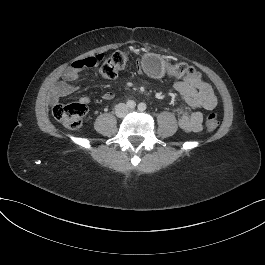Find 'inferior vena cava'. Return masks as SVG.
<instances>
[{
  "instance_id": "1",
  "label": "inferior vena cava",
  "mask_w": 265,
  "mask_h": 265,
  "mask_svg": "<svg viewBox=\"0 0 265 265\" xmlns=\"http://www.w3.org/2000/svg\"><path fill=\"white\" fill-rule=\"evenodd\" d=\"M122 110H125V113L128 111V107L126 104L124 103H120L116 106V113L117 112H121L122 113Z\"/></svg>"
}]
</instances>
